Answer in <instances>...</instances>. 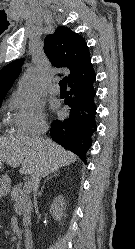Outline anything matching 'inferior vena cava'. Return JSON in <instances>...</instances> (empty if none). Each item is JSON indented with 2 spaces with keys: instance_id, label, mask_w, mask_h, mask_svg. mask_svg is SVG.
<instances>
[{
  "instance_id": "602c4592",
  "label": "inferior vena cava",
  "mask_w": 135,
  "mask_h": 249,
  "mask_svg": "<svg viewBox=\"0 0 135 249\" xmlns=\"http://www.w3.org/2000/svg\"><path fill=\"white\" fill-rule=\"evenodd\" d=\"M48 130V128L45 126L41 129V131L38 133V136H36L37 139L39 140H43V138L40 135H43L44 133H46ZM40 181V176H36V177H32V189L34 191V204L36 205V191L38 188V184Z\"/></svg>"
}]
</instances>
